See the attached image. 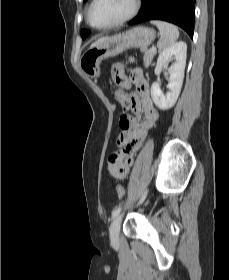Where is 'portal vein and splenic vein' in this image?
Instances as JSON below:
<instances>
[{"label":"portal vein and splenic vein","mask_w":229,"mask_h":280,"mask_svg":"<svg viewBox=\"0 0 229 280\" xmlns=\"http://www.w3.org/2000/svg\"><path fill=\"white\" fill-rule=\"evenodd\" d=\"M150 50H151L152 52H155V51H156V47H152Z\"/></svg>","instance_id":"18ae733b"}]
</instances>
